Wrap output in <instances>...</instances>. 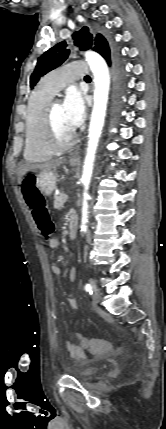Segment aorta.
Returning a JSON list of instances; mask_svg holds the SVG:
<instances>
[{
	"label": "aorta",
	"mask_w": 166,
	"mask_h": 429,
	"mask_svg": "<svg viewBox=\"0 0 166 429\" xmlns=\"http://www.w3.org/2000/svg\"><path fill=\"white\" fill-rule=\"evenodd\" d=\"M86 61L94 75V105L91 113L87 154L83 165V174L81 182L84 186L83 206H82V224L81 231H86L88 221V203L89 195L87 193L93 173L95 154L104 126V119L107 108L108 92L110 86L109 70L105 60L93 51L85 53Z\"/></svg>",
	"instance_id": "1"
}]
</instances>
